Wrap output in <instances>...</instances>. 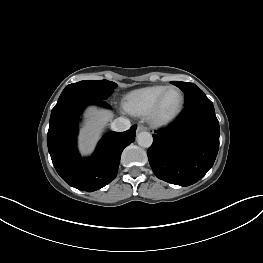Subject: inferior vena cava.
Instances as JSON below:
<instances>
[{"label": "inferior vena cava", "mask_w": 263, "mask_h": 263, "mask_svg": "<svg viewBox=\"0 0 263 263\" xmlns=\"http://www.w3.org/2000/svg\"><path fill=\"white\" fill-rule=\"evenodd\" d=\"M130 126H131L130 121L126 118H123V117L116 118L111 123V129L113 131H117V132L126 131L130 128Z\"/></svg>", "instance_id": "1"}]
</instances>
